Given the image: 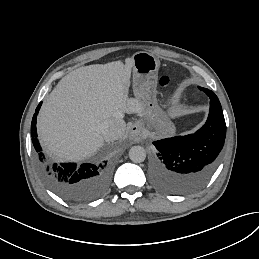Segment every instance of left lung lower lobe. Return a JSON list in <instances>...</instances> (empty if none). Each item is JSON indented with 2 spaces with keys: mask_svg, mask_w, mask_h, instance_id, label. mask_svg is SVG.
<instances>
[{
  "mask_svg": "<svg viewBox=\"0 0 259 259\" xmlns=\"http://www.w3.org/2000/svg\"><path fill=\"white\" fill-rule=\"evenodd\" d=\"M210 98L206 123L194 134L155 141L158 152L151 163V178L161 191L191 192L203 185L218 166L226 136L222 107L213 91L199 87Z\"/></svg>",
  "mask_w": 259,
  "mask_h": 259,
  "instance_id": "0a47b994",
  "label": "left lung lower lobe"
}]
</instances>
